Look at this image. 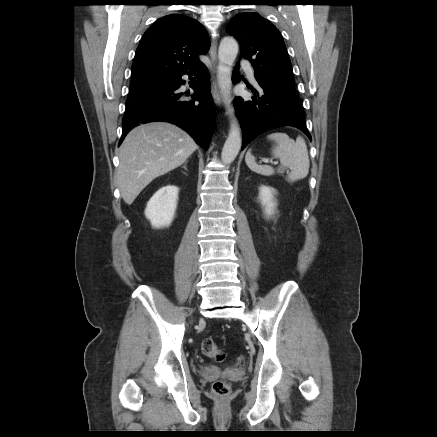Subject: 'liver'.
Instances as JSON below:
<instances>
[{
  "mask_svg": "<svg viewBox=\"0 0 437 437\" xmlns=\"http://www.w3.org/2000/svg\"><path fill=\"white\" fill-rule=\"evenodd\" d=\"M197 149L193 138L167 122H153L132 129L119 151L117 183L131 205L155 178L181 166Z\"/></svg>",
  "mask_w": 437,
  "mask_h": 437,
  "instance_id": "1",
  "label": "liver"
}]
</instances>
